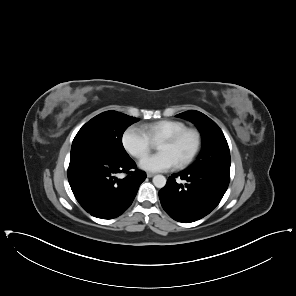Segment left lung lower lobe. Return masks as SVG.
<instances>
[{"label":"left lung lower lobe","instance_id":"1","mask_svg":"<svg viewBox=\"0 0 296 296\" xmlns=\"http://www.w3.org/2000/svg\"><path fill=\"white\" fill-rule=\"evenodd\" d=\"M176 177L184 183L177 182ZM229 181L230 170L186 169L172 174L159 191L161 205L174 220L194 222L219 204Z\"/></svg>","mask_w":296,"mask_h":296}]
</instances>
